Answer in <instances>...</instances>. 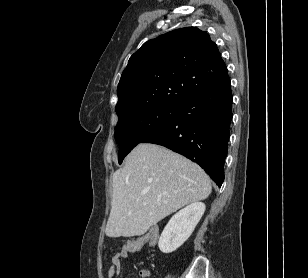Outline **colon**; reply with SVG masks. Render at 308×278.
<instances>
[{
    "instance_id": "1",
    "label": "colon",
    "mask_w": 308,
    "mask_h": 278,
    "mask_svg": "<svg viewBox=\"0 0 308 278\" xmlns=\"http://www.w3.org/2000/svg\"><path fill=\"white\" fill-rule=\"evenodd\" d=\"M164 232L160 230L159 227H152L150 231V235H148V245L149 247H158L159 245V237H162ZM143 238L140 235L135 237V240H127L125 243L120 244L121 250H128L129 253H139L140 248L143 247Z\"/></svg>"
}]
</instances>
